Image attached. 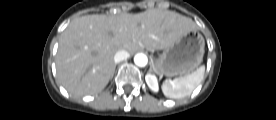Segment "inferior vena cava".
I'll list each match as a JSON object with an SVG mask.
<instances>
[{
    "mask_svg": "<svg viewBox=\"0 0 276 120\" xmlns=\"http://www.w3.org/2000/svg\"><path fill=\"white\" fill-rule=\"evenodd\" d=\"M129 58V53L126 50H119L114 55V62L119 63Z\"/></svg>",
    "mask_w": 276,
    "mask_h": 120,
    "instance_id": "602c4592",
    "label": "inferior vena cava"
}]
</instances>
